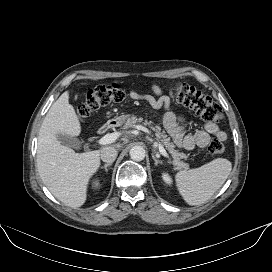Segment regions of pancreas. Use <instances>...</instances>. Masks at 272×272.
I'll use <instances>...</instances> for the list:
<instances>
[{
	"label": "pancreas",
	"mask_w": 272,
	"mask_h": 272,
	"mask_svg": "<svg viewBox=\"0 0 272 272\" xmlns=\"http://www.w3.org/2000/svg\"><path fill=\"white\" fill-rule=\"evenodd\" d=\"M143 121V118H137L136 116H131L125 122L126 128H131L136 124H139ZM145 126H150L151 122L145 120L143 123ZM153 131H155L156 138L160 140L161 144L169 151L172 157V164L175 166V169H187L188 164L183 163L181 159H186L187 155L185 153H180L175 149V145L170 141V138L165 134V131L161 130V127L155 126L150 127Z\"/></svg>",
	"instance_id": "obj_1"
}]
</instances>
